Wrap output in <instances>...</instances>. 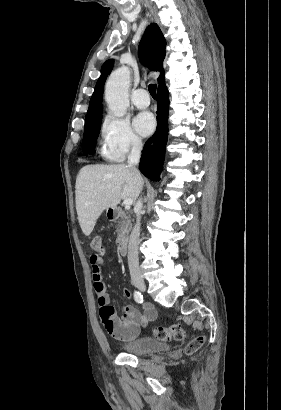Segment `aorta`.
Here are the masks:
<instances>
[{"label": "aorta", "mask_w": 281, "mask_h": 410, "mask_svg": "<svg viewBox=\"0 0 281 410\" xmlns=\"http://www.w3.org/2000/svg\"><path fill=\"white\" fill-rule=\"evenodd\" d=\"M129 84L130 71L127 67L115 70L107 80L105 100L109 110L117 117L124 116L129 107Z\"/></svg>", "instance_id": "1"}]
</instances>
